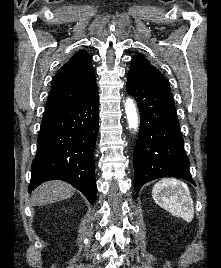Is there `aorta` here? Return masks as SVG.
I'll return each mask as SVG.
<instances>
[{"label":"aorta","mask_w":221,"mask_h":268,"mask_svg":"<svg viewBox=\"0 0 221 268\" xmlns=\"http://www.w3.org/2000/svg\"><path fill=\"white\" fill-rule=\"evenodd\" d=\"M125 113L130 129L136 131L138 129V114L134 102L131 98H128L125 102Z\"/></svg>","instance_id":"1"}]
</instances>
